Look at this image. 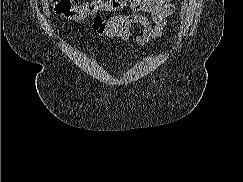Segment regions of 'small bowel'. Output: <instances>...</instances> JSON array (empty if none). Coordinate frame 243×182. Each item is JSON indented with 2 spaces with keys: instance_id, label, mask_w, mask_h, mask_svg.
<instances>
[{
  "instance_id": "1",
  "label": "small bowel",
  "mask_w": 243,
  "mask_h": 182,
  "mask_svg": "<svg viewBox=\"0 0 243 182\" xmlns=\"http://www.w3.org/2000/svg\"><path fill=\"white\" fill-rule=\"evenodd\" d=\"M173 12L172 0H132L130 11L126 13L109 18L96 16L92 22V30L109 42L115 39L128 41L131 27L138 24L142 27V32L136 37V43L143 46L163 35Z\"/></svg>"
}]
</instances>
